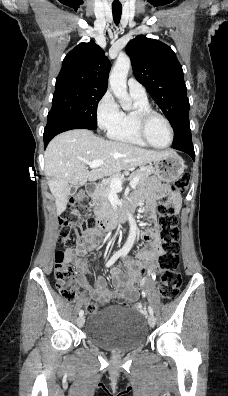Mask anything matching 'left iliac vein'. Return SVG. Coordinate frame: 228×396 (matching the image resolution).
I'll use <instances>...</instances> for the list:
<instances>
[{
	"instance_id": "1",
	"label": "left iliac vein",
	"mask_w": 228,
	"mask_h": 396,
	"mask_svg": "<svg viewBox=\"0 0 228 396\" xmlns=\"http://www.w3.org/2000/svg\"><path fill=\"white\" fill-rule=\"evenodd\" d=\"M148 324H149V326L150 327H154L155 326V324H156V318H155V316L154 315H149V317H148Z\"/></svg>"
}]
</instances>
